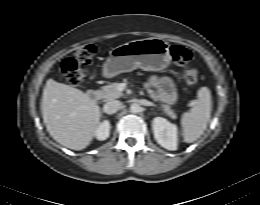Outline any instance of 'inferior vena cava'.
Instances as JSON below:
<instances>
[{"label": "inferior vena cava", "mask_w": 260, "mask_h": 205, "mask_svg": "<svg viewBox=\"0 0 260 205\" xmlns=\"http://www.w3.org/2000/svg\"><path fill=\"white\" fill-rule=\"evenodd\" d=\"M122 103L118 100H112L104 105V112L114 114L121 108Z\"/></svg>", "instance_id": "inferior-vena-cava-1"}]
</instances>
